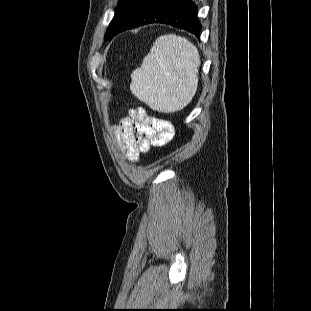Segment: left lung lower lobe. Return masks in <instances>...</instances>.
Segmentation results:
<instances>
[{
    "label": "left lung lower lobe",
    "instance_id": "0a47b994",
    "mask_svg": "<svg viewBox=\"0 0 311 311\" xmlns=\"http://www.w3.org/2000/svg\"><path fill=\"white\" fill-rule=\"evenodd\" d=\"M150 23L184 29L199 38L201 24L191 0H127L120 8L109 41L118 33Z\"/></svg>",
    "mask_w": 311,
    "mask_h": 311
}]
</instances>
